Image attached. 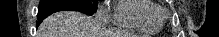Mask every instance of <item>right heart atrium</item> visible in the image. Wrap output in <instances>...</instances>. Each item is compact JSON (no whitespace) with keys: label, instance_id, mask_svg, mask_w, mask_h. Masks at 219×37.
<instances>
[{"label":"right heart atrium","instance_id":"obj_1","mask_svg":"<svg viewBox=\"0 0 219 37\" xmlns=\"http://www.w3.org/2000/svg\"><path fill=\"white\" fill-rule=\"evenodd\" d=\"M97 16L101 19H106L108 16V11L106 9L102 8V9L98 10Z\"/></svg>","mask_w":219,"mask_h":37}]
</instances>
